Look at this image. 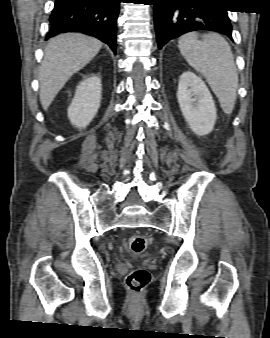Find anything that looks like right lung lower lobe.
I'll use <instances>...</instances> for the list:
<instances>
[{
  "label": "right lung lower lobe",
  "instance_id": "98d812e1",
  "mask_svg": "<svg viewBox=\"0 0 270 338\" xmlns=\"http://www.w3.org/2000/svg\"><path fill=\"white\" fill-rule=\"evenodd\" d=\"M121 0H55L46 40L63 32H81L108 44L116 53V20Z\"/></svg>",
  "mask_w": 270,
  "mask_h": 338
}]
</instances>
